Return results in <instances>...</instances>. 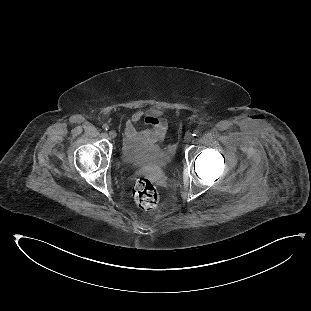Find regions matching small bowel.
Masks as SVG:
<instances>
[{"mask_svg":"<svg viewBox=\"0 0 311 311\" xmlns=\"http://www.w3.org/2000/svg\"><path fill=\"white\" fill-rule=\"evenodd\" d=\"M144 121L148 128L139 130L137 125ZM167 131V122L155 109L137 110L127 121L124 129L128 147L161 142Z\"/></svg>","mask_w":311,"mask_h":311,"instance_id":"c3829d8e","label":"small bowel"}]
</instances>
